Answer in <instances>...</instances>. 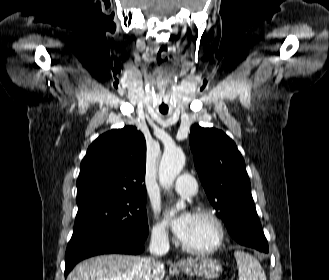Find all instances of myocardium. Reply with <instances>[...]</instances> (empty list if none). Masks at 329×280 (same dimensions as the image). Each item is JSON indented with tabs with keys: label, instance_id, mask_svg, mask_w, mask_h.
<instances>
[{
	"label": "myocardium",
	"instance_id": "obj_1",
	"mask_svg": "<svg viewBox=\"0 0 329 280\" xmlns=\"http://www.w3.org/2000/svg\"><path fill=\"white\" fill-rule=\"evenodd\" d=\"M195 215L201 216L207 219L213 226L216 232L215 241L207 247L204 248H194L183 241L181 242L182 248L189 254L192 255H209L218 251L224 243L225 240V227L216 213L207 208L199 207L195 210Z\"/></svg>",
	"mask_w": 329,
	"mask_h": 280
}]
</instances>
